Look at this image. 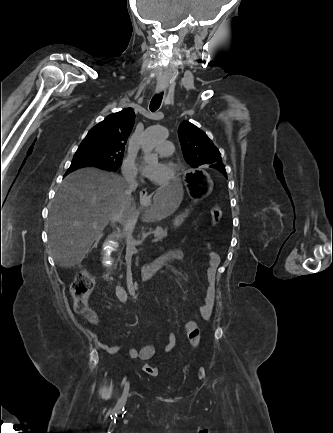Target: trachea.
Listing matches in <instances>:
<instances>
[{
  "instance_id": "1",
  "label": "trachea",
  "mask_w": 333,
  "mask_h": 433,
  "mask_svg": "<svg viewBox=\"0 0 333 433\" xmlns=\"http://www.w3.org/2000/svg\"><path fill=\"white\" fill-rule=\"evenodd\" d=\"M162 99H163V93L155 95L150 102V106H149L150 111L155 112L160 107Z\"/></svg>"
}]
</instances>
